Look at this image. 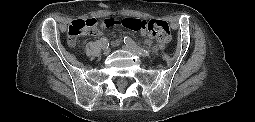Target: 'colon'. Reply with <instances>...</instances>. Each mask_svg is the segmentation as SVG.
Instances as JSON below:
<instances>
[{"instance_id": "1", "label": "colon", "mask_w": 255, "mask_h": 122, "mask_svg": "<svg viewBox=\"0 0 255 122\" xmlns=\"http://www.w3.org/2000/svg\"><path fill=\"white\" fill-rule=\"evenodd\" d=\"M105 23L109 27L117 25L132 31H146L161 43L170 40V27L166 21L160 19L120 17L106 19ZM97 26L98 20L96 19L75 20L68 27V38L71 43H74L80 35L95 32Z\"/></svg>"}]
</instances>
